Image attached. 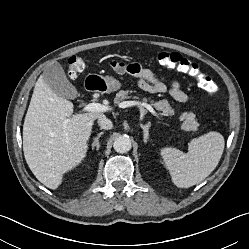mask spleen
Masks as SVG:
<instances>
[{
	"label": "spleen",
	"mask_w": 249,
	"mask_h": 249,
	"mask_svg": "<svg viewBox=\"0 0 249 249\" xmlns=\"http://www.w3.org/2000/svg\"><path fill=\"white\" fill-rule=\"evenodd\" d=\"M224 145L223 135L210 131L191 140L187 153L176 148H163L160 154L173 183L177 187L188 188L211 174L220 161Z\"/></svg>",
	"instance_id": "3e777b00"
}]
</instances>
